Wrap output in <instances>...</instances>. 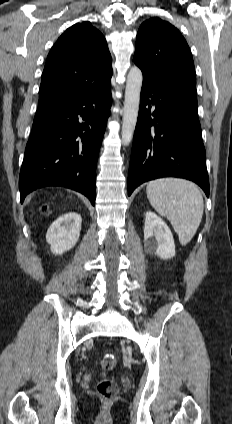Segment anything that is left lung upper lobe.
Listing matches in <instances>:
<instances>
[{"instance_id":"5c2ea615","label":"left lung upper lobe","mask_w":232,"mask_h":424,"mask_svg":"<svg viewBox=\"0 0 232 424\" xmlns=\"http://www.w3.org/2000/svg\"><path fill=\"white\" fill-rule=\"evenodd\" d=\"M134 63L143 73V82L196 86L194 62L186 40L174 26L157 17L140 26Z\"/></svg>"}]
</instances>
